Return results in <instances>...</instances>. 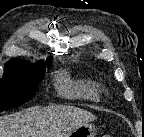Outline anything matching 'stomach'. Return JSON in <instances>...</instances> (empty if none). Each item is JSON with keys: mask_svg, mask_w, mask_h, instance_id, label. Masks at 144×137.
I'll return each mask as SVG.
<instances>
[{"mask_svg": "<svg viewBox=\"0 0 144 137\" xmlns=\"http://www.w3.org/2000/svg\"><path fill=\"white\" fill-rule=\"evenodd\" d=\"M97 129L92 124H84L74 129L68 137H95Z\"/></svg>", "mask_w": 144, "mask_h": 137, "instance_id": "stomach-1", "label": "stomach"}]
</instances>
